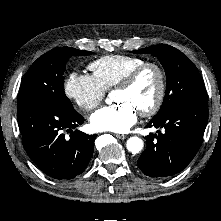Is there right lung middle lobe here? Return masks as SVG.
<instances>
[{
	"label": "right lung middle lobe",
	"mask_w": 221,
	"mask_h": 221,
	"mask_svg": "<svg viewBox=\"0 0 221 221\" xmlns=\"http://www.w3.org/2000/svg\"><path fill=\"white\" fill-rule=\"evenodd\" d=\"M89 54L91 52L71 47L55 48L43 54L25 74L19 89L17 107L30 102H44L74 112L63 90L65 64L72 55Z\"/></svg>",
	"instance_id": "right-lung-middle-lobe-1"
}]
</instances>
